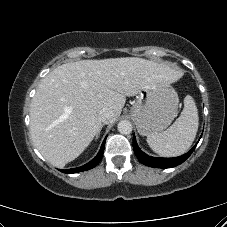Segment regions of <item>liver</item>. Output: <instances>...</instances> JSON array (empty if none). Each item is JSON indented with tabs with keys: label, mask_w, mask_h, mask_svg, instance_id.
Masks as SVG:
<instances>
[{
	"label": "liver",
	"mask_w": 227,
	"mask_h": 227,
	"mask_svg": "<svg viewBox=\"0 0 227 227\" xmlns=\"http://www.w3.org/2000/svg\"><path fill=\"white\" fill-rule=\"evenodd\" d=\"M180 73L137 57L81 60L58 66L45 76L32 99L30 133L35 147L53 166L77 158L102 129L100 113L114 122L126 96L156 82L172 83Z\"/></svg>",
	"instance_id": "6515ba94"
}]
</instances>
